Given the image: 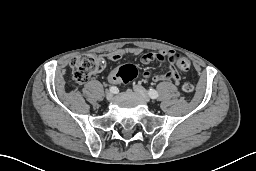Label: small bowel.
Returning <instances> with one entry per match:
<instances>
[{"mask_svg":"<svg viewBox=\"0 0 256 171\" xmlns=\"http://www.w3.org/2000/svg\"><path fill=\"white\" fill-rule=\"evenodd\" d=\"M135 56L140 58L142 64H149L154 60H158L164 64L166 72L164 74H155L152 75L150 71L145 70L143 72L144 78H152L155 82L174 80L176 83L180 81V76L175 67V58L179 54L175 53L172 50H159L157 52L143 53L142 49L139 47H127L120 48L110 51L109 53L103 55L111 61H118L124 56ZM111 83H119V78L117 77V71L114 70L109 74L108 77Z\"/></svg>","mask_w":256,"mask_h":171,"instance_id":"obj_1","label":"small bowel"}]
</instances>
